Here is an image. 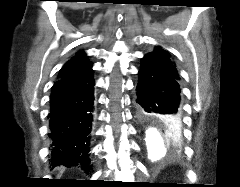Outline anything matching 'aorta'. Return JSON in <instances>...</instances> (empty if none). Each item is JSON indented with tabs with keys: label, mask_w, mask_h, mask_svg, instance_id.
<instances>
[{
	"label": "aorta",
	"mask_w": 240,
	"mask_h": 187,
	"mask_svg": "<svg viewBox=\"0 0 240 187\" xmlns=\"http://www.w3.org/2000/svg\"><path fill=\"white\" fill-rule=\"evenodd\" d=\"M145 142L148 150V158L158 160L165 155L166 142L156 127L148 126L145 130Z\"/></svg>",
	"instance_id": "aorta-1"
}]
</instances>
